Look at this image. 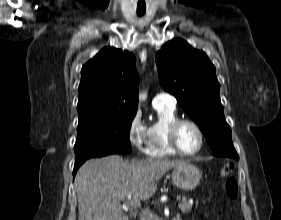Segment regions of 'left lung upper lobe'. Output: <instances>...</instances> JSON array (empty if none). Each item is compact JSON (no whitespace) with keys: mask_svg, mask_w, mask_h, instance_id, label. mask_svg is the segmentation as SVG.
Here are the masks:
<instances>
[{"mask_svg":"<svg viewBox=\"0 0 281 220\" xmlns=\"http://www.w3.org/2000/svg\"><path fill=\"white\" fill-rule=\"evenodd\" d=\"M160 84L202 130L214 156L237 158L220 101L215 66L206 53L173 39L156 54Z\"/></svg>","mask_w":281,"mask_h":220,"instance_id":"left-lung-upper-lobe-1","label":"left lung upper lobe"}]
</instances>
